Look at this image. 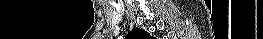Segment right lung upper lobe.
Wrapping results in <instances>:
<instances>
[{
  "label": "right lung upper lobe",
  "mask_w": 263,
  "mask_h": 39,
  "mask_svg": "<svg viewBox=\"0 0 263 39\" xmlns=\"http://www.w3.org/2000/svg\"><path fill=\"white\" fill-rule=\"evenodd\" d=\"M130 39H150L152 38L146 31H143L139 28H133L131 32H129Z\"/></svg>",
  "instance_id": "1"
}]
</instances>
